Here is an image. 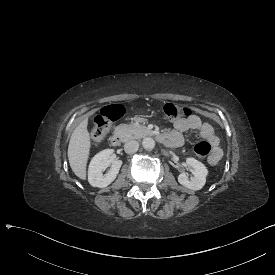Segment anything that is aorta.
Returning <instances> with one entry per match:
<instances>
[{
	"instance_id": "obj_1",
	"label": "aorta",
	"mask_w": 275,
	"mask_h": 275,
	"mask_svg": "<svg viewBox=\"0 0 275 275\" xmlns=\"http://www.w3.org/2000/svg\"><path fill=\"white\" fill-rule=\"evenodd\" d=\"M144 149H153L155 147V141L151 137H146L142 141Z\"/></svg>"
}]
</instances>
